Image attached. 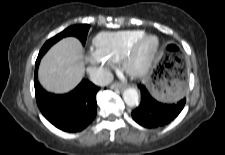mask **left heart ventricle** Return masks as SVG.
<instances>
[{"label": "left heart ventricle", "instance_id": "b2bd125f", "mask_svg": "<svg viewBox=\"0 0 225 155\" xmlns=\"http://www.w3.org/2000/svg\"><path fill=\"white\" fill-rule=\"evenodd\" d=\"M152 44H153V41H149V42L146 44L145 49H146V50L150 49V47L152 46Z\"/></svg>", "mask_w": 225, "mask_h": 155}]
</instances>
